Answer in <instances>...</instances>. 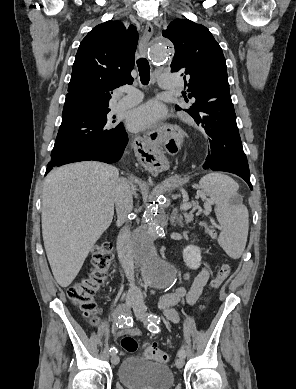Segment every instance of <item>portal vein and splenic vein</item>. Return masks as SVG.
<instances>
[{
	"label": "portal vein and splenic vein",
	"instance_id": "18ae733b",
	"mask_svg": "<svg viewBox=\"0 0 296 389\" xmlns=\"http://www.w3.org/2000/svg\"><path fill=\"white\" fill-rule=\"evenodd\" d=\"M192 207V204L189 202H185L181 205L180 209L183 211L189 210ZM209 208L206 209L205 214L207 215L209 213Z\"/></svg>",
	"mask_w": 296,
	"mask_h": 389
}]
</instances>
